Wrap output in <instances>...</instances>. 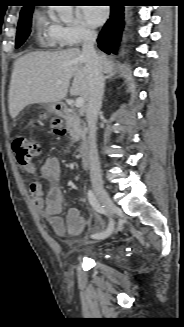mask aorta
<instances>
[{
    "instance_id": "aorta-1",
    "label": "aorta",
    "mask_w": 184,
    "mask_h": 327,
    "mask_svg": "<svg viewBox=\"0 0 184 327\" xmlns=\"http://www.w3.org/2000/svg\"><path fill=\"white\" fill-rule=\"evenodd\" d=\"M71 18H72V15L71 14H69V15L66 16V19L67 20H70Z\"/></svg>"
}]
</instances>
